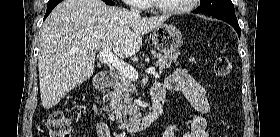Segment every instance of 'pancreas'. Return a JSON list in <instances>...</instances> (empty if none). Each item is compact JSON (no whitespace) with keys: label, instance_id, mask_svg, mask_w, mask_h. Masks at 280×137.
Returning <instances> with one entry per match:
<instances>
[{"label":"pancreas","instance_id":"obj_1","mask_svg":"<svg viewBox=\"0 0 280 137\" xmlns=\"http://www.w3.org/2000/svg\"><path fill=\"white\" fill-rule=\"evenodd\" d=\"M158 59L156 66L160 70L166 69L176 62L177 54L153 53ZM136 92V87L133 85L132 80L121 74L114 86L113 91L107 94L109 96V103L106 106V111L109 112L111 119H116L119 122L131 121L138 116V109L132 103V94Z\"/></svg>","mask_w":280,"mask_h":137}]
</instances>
